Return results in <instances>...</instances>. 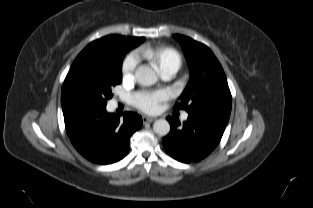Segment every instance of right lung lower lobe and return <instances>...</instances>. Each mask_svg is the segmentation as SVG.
I'll return each instance as SVG.
<instances>
[{"label":"right lung lower lobe","instance_id":"right-lung-lower-lobe-1","mask_svg":"<svg viewBox=\"0 0 313 208\" xmlns=\"http://www.w3.org/2000/svg\"><path fill=\"white\" fill-rule=\"evenodd\" d=\"M65 127L76 150L91 162L110 164L124 158L130 137L142 126L136 113L125 112L123 121L108 113L106 105L78 97H61Z\"/></svg>","mask_w":313,"mask_h":208}]
</instances>
